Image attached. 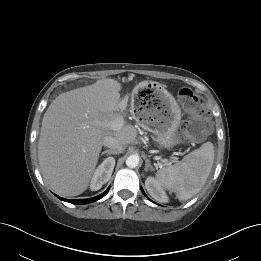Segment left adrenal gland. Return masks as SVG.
<instances>
[{"label": "left adrenal gland", "instance_id": "a2214340", "mask_svg": "<svg viewBox=\"0 0 261 261\" xmlns=\"http://www.w3.org/2000/svg\"><path fill=\"white\" fill-rule=\"evenodd\" d=\"M144 170H145L146 172H147L148 170L153 171V167H152V165L150 164L149 159H146V160H145V168H144Z\"/></svg>", "mask_w": 261, "mask_h": 261}]
</instances>
